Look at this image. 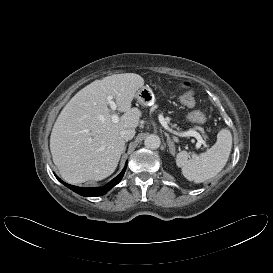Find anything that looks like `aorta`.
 Listing matches in <instances>:
<instances>
[{
	"instance_id": "762f6f07",
	"label": "aorta",
	"mask_w": 273,
	"mask_h": 273,
	"mask_svg": "<svg viewBox=\"0 0 273 273\" xmlns=\"http://www.w3.org/2000/svg\"><path fill=\"white\" fill-rule=\"evenodd\" d=\"M160 144V137L155 134L147 136L144 141L145 147L152 150L158 149L160 147Z\"/></svg>"
}]
</instances>
